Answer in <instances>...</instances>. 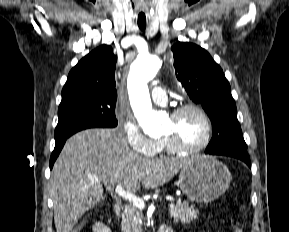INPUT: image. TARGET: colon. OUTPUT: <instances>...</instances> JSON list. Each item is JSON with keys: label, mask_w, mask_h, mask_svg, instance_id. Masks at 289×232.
<instances>
[{"label": "colon", "mask_w": 289, "mask_h": 232, "mask_svg": "<svg viewBox=\"0 0 289 232\" xmlns=\"http://www.w3.org/2000/svg\"><path fill=\"white\" fill-rule=\"evenodd\" d=\"M231 226H232L234 232H244L243 229L241 228L239 222L233 218L231 219ZM82 227H83V225L81 223H79L71 230V232H81Z\"/></svg>", "instance_id": "1"}]
</instances>
